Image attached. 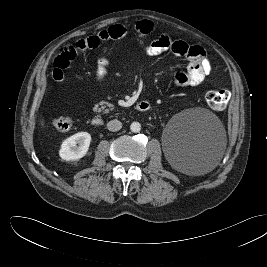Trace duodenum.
I'll list each match as a JSON object with an SVG mask.
<instances>
[{
    "instance_id": "obj_1",
    "label": "duodenum",
    "mask_w": 267,
    "mask_h": 267,
    "mask_svg": "<svg viewBox=\"0 0 267 267\" xmlns=\"http://www.w3.org/2000/svg\"><path fill=\"white\" fill-rule=\"evenodd\" d=\"M135 108L137 111L145 112L150 110L151 105L148 101H140L136 104ZM91 122L95 126H102L104 124V119L101 116L96 115L92 118Z\"/></svg>"
}]
</instances>
